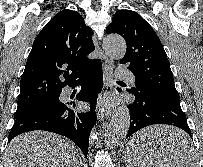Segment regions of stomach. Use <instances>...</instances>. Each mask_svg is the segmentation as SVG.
<instances>
[{
  "mask_svg": "<svg viewBox=\"0 0 203 167\" xmlns=\"http://www.w3.org/2000/svg\"><path fill=\"white\" fill-rule=\"evenodd\" d=\"M152 152H153V154H154L155 156L158 154V152H157L156 149H152ZM125 160H130V153L127 152V150H126V152H125Z\"/></svg>",
  "mask_w": 203,
  "mask_h": 167,
  "instance_id": "stomach-1",
  "label": "stomach"
}]
</instances>
